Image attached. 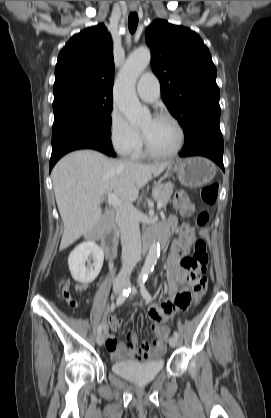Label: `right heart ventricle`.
<instances>
[{
    "instance_id": "1",
    "label": "right heart ventricle",
    "mask_w": 271,
    "mask_h": 418,
    "mask_svg": "<svg viewBox=\"0 0 271 418\" xmlns=\"http://www.w3.org/2000/svg\"><path fill=\"white\" fill-rule=\"evenodd\" d=\"M133 158H142L145 156V153L141 147V145L132 153L131 155Z\"/></svg>"
}]
</instances>
